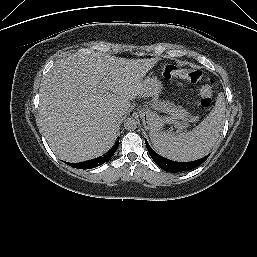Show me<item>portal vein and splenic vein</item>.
Masks as SVG:
<instances>
[{"label": "portal vein and splenic vein", "mask_w": 257, "mask_h": 257, "mask_svg": "<svg viewBox=\"0 0 257 257\" xmlns=\"http://www.w3.org/2000/svg\"><path fill=\"white\" fill-rule=\"evenodd\" d=\"M99 91H100L101 93H106V92L108 91L107 85H106V84H103V85L100 87ZM174 123L176 124V127H177L178 129H183V128L185 127L184 124L181 123V122H174Z\"/></svg>", "instance_id": "1"}]
</instances>
